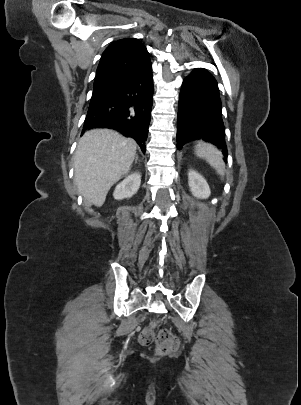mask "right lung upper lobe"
Here are the masks:
<instances>
[{
  "label": "right lung upper lobe",
  "mask_w": 301,
  "mask_h": 405,
  "mask_svg": "<svg viewBox=\"0 0 301 405\" xmlns=\"http://www.w3.org/2000/svg\"><path fill=\"white\" fill-rule=\"evenodd\" d=\"M146 47L135 38L112 42L103 52L93 93H111L149 60Z\"/></svg>",
  "instance_id": "right-lung-upper-lobe-1"
}]
</instances>
